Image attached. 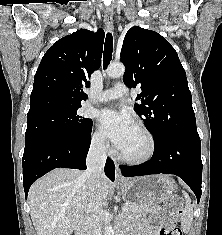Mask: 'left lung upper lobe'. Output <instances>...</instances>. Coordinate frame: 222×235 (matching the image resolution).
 Listing matches in <instances>:
<instances>
[{
    "mask_svg": "<svg viewBox=\"0 0 222 235\" xmlns=\"http://www.w3.org/2000/svg\"><path fill=\"white\" fill-rule=\"evenodd\" d=\"M128 87L140 86L134 110L158 143L182 134L199 138L186 72L177 52L155 31L131 27L120 53Z\"/></svg>",
    "mask_w": 222,
    "mask_h": 235,
    "instance_id": "obj_1",
    "label": "left lung upper lobe"
}]
</instances>
